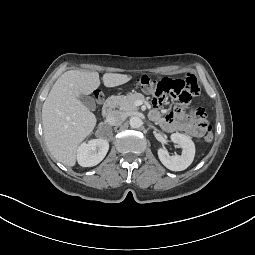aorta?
Masks as SVG:
<instances>
[{"label":"aorta","instance_id":"aorta-1","mask_svg":"<svg viewBox=\"0 0 255 255\" xmlns=\"http://www.w3.org/2000/svg\"><path fill=\"white\" fill-rule=\"evenodd\" d=\"M130 126L134 129L140 128L142 126V120L139 117H131L130 118Z\"/></svg>","mask_w":255,"mask_h":255}]
</instances>
